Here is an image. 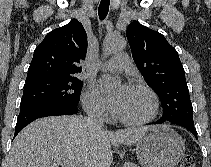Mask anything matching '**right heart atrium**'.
<instances>
[{"mask_svg": "<svg viewBox=\"0 0 211 167\" xmlns=\"http://www.w3.org/2000/svg\"><path fill=\"white\" fill-rule=\"evenodd\" d=\"M83 104L85 109L97 116H106L108 107L104 100L95 92L93 87L89 85L83 94Z\"/></svg>", "mask_w": 211, "mask_h": 167, "instance_id": "d8ad5b80", "label": "right heart atrium"}]
</instances>
